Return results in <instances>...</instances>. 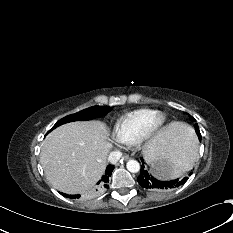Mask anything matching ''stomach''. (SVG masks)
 I'll list each match as a JSON object with an SVG mask.
<instances>
[{
    "label": "stomach",
    "mask_w": 233,
    "mask_h": 233,
    "mask_svg": "<svg viewBox=\"0 0 233 233\" xmlns=\"http://www.w3.org/2000/svg\"><path fill=\"white\" fill-rule=\"evenodd\" d=\"M148 175L157 181H164L175 176V165L172 157L160 156L157 153L152 154L146 163Z\"/></svg>",
    "instance_id": "stomach-1"
}]
</instances>
